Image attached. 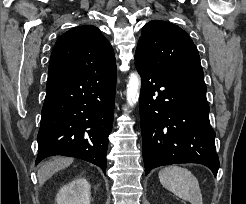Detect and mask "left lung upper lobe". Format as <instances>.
<instances>
[{
  "label": "left lung upper lobe",
  "mask_w": 246,
  "mask_h": 204,
  "mask_svg": "<svg viewBox=\"0 0 246 204\" xmlns=\"http://www.w3.org/2000/svg\"><path fill=\"white\" fill-rule=\"evenodd\" d=\"M135 64L159 73L204 81L193 41L183 29L165 21H150L143 27Z\"/></svg>",
  "instance_id": "5c2ea615"
}]
</instances>
